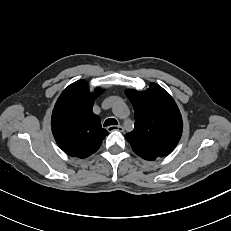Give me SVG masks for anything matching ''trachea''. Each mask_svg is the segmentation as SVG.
<instances>
[{
	"label": "trachea",
	"instance_id": "3493384b",
	"mask_svg": "<svg viewBox=\"0 0 231 231\" xmlns=\"http://www.w3.org/2000/svg\"><path fill=\"white\" fill-rule=\"evenodd\" d=\"M118 122L114 118H109L104 122V127L111 126V125H117Z\"/></svg>",
	"mask_w": 231,
	"mask_h": 231
}]
</instances>
